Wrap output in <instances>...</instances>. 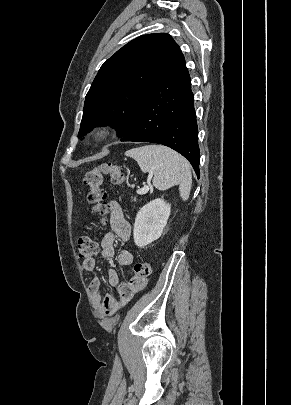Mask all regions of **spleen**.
I'll return each instance as SVG.
<instances>
[{
    "label": "spleen",
    "instance_id": "3e777b00",
    "mask_svg": "<svg viewBox=\"0 0 291 405\" xmlns=\"http://www.w3.org/2000/svg\"><path fill=\"white\" fill-rule=\"evenodd\" d=\"M126 156L135 159L142 172L154 174L153 185L166 190L178 185L183 201L189 198L192 175L190 164L174 150L161 145H146L128 150Z\"/></svg>",
    "mask_w": 291,
    "mask_h": 405
}]
</instances>
